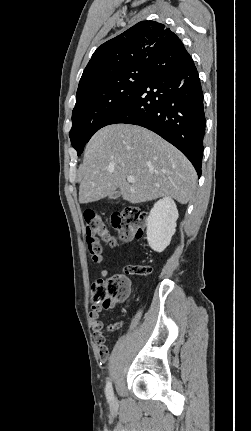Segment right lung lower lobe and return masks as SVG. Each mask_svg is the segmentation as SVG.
<instances>
[{
    "label": "right lung lower lobe",
    "mask_w": 251,
    "mask_h": 431,
    "mask_svg": "<svg viewBox=\"0 0 251 431\" xmlns=\"http://www.w3.org/2000/svg\"><path fill=\"white\" fill-rule=\"evenodd\" d=\"M145 127L177 147L201 176L206 120L195 64L183 47L153 58L138 90L105 122Z\"/></svg>",
    "instance_id": "1"
}]
</instances>
